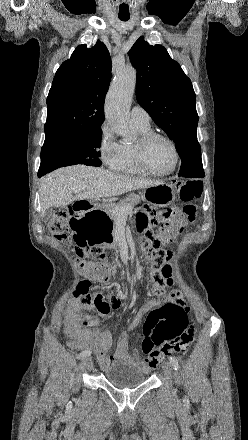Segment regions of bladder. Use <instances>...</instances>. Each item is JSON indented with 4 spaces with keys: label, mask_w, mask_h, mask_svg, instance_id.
<instances>
[{
    "label": "bladder",
    "mask_w": 248,
    "mask_h": 440,
    "mask_svg": "<svg viewBox=\"0 0 248 440\" xmlns=\"http://www.w3.org/2000/svg\"><path fill=\"white\" fill-rule=\"evenodd\" d=\"M103 376L114 387L130 388L143 383L147 379L148 370L120 362L109 366Z\"/></svg>",
    "instance_id": "obj_1"
}]
</instances>
